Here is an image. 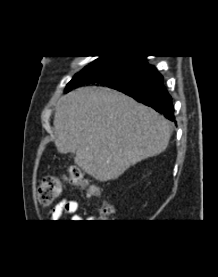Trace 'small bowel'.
I'll return each instance as SVG.
<instances>
[{
  "instance_id": "c3829d8e",
  "label": "small bowel",
  "mask_w": 218,
  "mask_h": 277,
  "mask_svg": "<svg viewBox=\"0 0 218 277\" xmlns=\"http://www.w3.org/2000/svg\"><path fill=\"white\" fill-rule=\"evenodd\" d=\"M78 210V202L74 199L64 198L57 203L51 211L50 220L51 222H59L64 217H70L74 222H80L82 217L76 212Z\"/></svg>"
}]
</instances>
